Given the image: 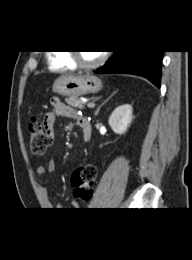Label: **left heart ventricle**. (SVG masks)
Segmentation results:
<instances>
[{"instance_id": "b2bd125f", "label": "left heart ventricle", "mask_w": 192, "mask_h": 260, "mask_svg": "<svg viewBox=\"0 0 192 260\" xmlns=\"http://www.w3.org/2000/svg\"><path fill=\"white\" fill-rule=\"evenodd\" d=\"M101 56V52L97 51H82L80 57L85 63H93Z\"/></svg>"}]
</instances>
